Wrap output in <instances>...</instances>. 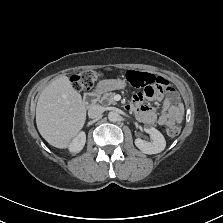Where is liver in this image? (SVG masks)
Returning <instances> with one entry per match:
<instances>
[{
  "instance_id": "liver-1",
  "label": "liver",
  "mask_w": 223,
  "mask_h": 223,
  "mask_svg": "<svg viewBox=\"0 0 223 223\" xmlns=\"http://www.w3.org/2000/svg\"><path fill=\"white\" fill-rule=\"evenodd\" d=\"M86 107L69 78L62 76L41 93L36 122L41 135L55 147H66L68 140L83 126Z\"/></svg>"
}]
</instances>
